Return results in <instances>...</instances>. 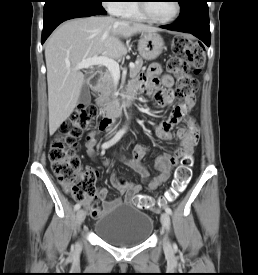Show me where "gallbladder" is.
Here are the masks:
<instances>
[{"label": "gallbladder", "instance_id": "1", "mask_svg": "<svg viewBox=\"0 0 258 275\" xmlns=\"http://www.w3.org/2000/svg\"><path fill=\"white\" fill-rule=\"evenodd\" d=\"M91 102L90 89L86 83L83 84L79 95L78 103L88 105Z\"/></svg>", "mask_w": 258, "mask_h": 275}]
</instances>
